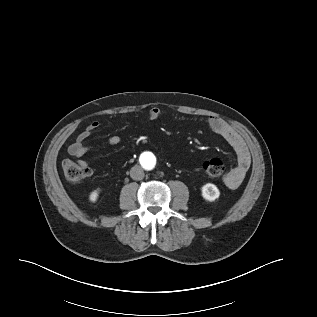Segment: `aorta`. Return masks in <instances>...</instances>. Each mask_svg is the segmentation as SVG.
<instances>
[{
  "instance_id": "1",
  "label": "aorta",
  "mask_w": 317,
  "mask_h": 317,
  "mask_svg": "<svg viewBox=\"0 0 317 317\" xmlns=\"http://www.w3.org/2000/svg\"><path fill=\"white\" fill-rule=\"evenodd\" d=\"M140 162L147 170H152L155 167V158L151 154H143L140 158Z\"/></svg>"
}]
</instances>
